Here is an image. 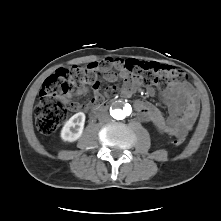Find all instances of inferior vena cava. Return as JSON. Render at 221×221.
I'll return each mask as SVG.
<instances>
[{
	"instance_id": "obj_1",
	"label": "inferior vena cava",
	"mask_w": 221,
	"mask_h": 221,
	"mask_svg": "<svg viewBox=\"0 0 221 221\" xmlns=\"http://www.w3.org/2000/svg\"><path fill=\"white\" fill-rule=\"evenodd\" d=\"M99 120L100 121H109L110 120V116L107 112H102L100 115H99Z\"/></svg>"
}]
</instances>
